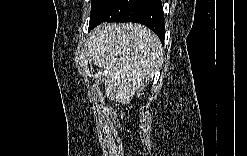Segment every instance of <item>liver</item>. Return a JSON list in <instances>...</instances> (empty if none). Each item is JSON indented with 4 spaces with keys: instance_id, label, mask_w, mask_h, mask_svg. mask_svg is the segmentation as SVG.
Segmentation results:
<instances>
[{
    "instance_id": "1",
    "label": "liver",
    "mask_w": 247,
    "mask_h": 156,
    "mask_svg": "<svg viewBox=\"0 0 247 156\" xmlns=\"http://www.w3.org/2000/svg\"><path fill=\"white\" fill-rule=\"evenodd\" d=\"M88 56L106 72L105 89L111 99L125 104L162 65L161 43L146 26L105 23L88 40Z\"/></svg>"
}]
</instances>
